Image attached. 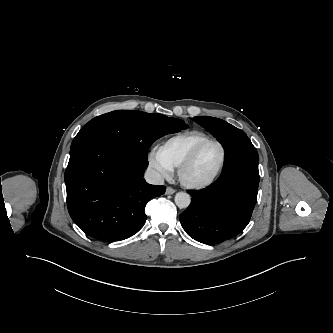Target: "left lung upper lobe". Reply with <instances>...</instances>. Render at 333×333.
<instances>
[{"label":"left lung upper lobe","mask_w":333,"mask_h":333,"mask_svg":"<svg viewBox=\"0 0 333 333\" xmlns=\"http://www.w3.org/2000/svg\"><path fill=\"white\" fill-rule=\"evenodd\" d=\"M194 121L213 134L224 149L234 140L246 136L242 130L218 118L198 116Z\"/></svg>","instance_id":"left-lung-upper-lobe-1"}]
</instances>
